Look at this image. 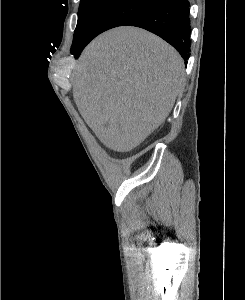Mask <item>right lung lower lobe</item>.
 Wrapping results in <instances>:
<instances>
[{
	"mask_svg": "<svg viewBox=\"0 0 245 300\" xmlns=\"http://www.w3.org/2000/svg\"><path fill=\"white\" fill-rule=\"evenodd\" d=\"M190 3L160 0L124 25L146 29L170 43L187 60L190 47ZM87 44L71 48L77 58Z\"/></svg>",
	"mask_w": 245,
	"mask_h": 300,
	"instance_id": "98d812e1",
	"label": "right lung lower lobe"
}]
</instances>
